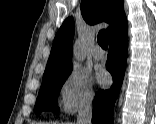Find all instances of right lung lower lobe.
I'll use <instances>...</instances> for the list:
<instances>
[{
    "mask_svg": "<svg viewBox=\"0 0 156 124\" xmlns=\"http://www.w3.org/2000/svg\"><path fill=\"white\" fill-rule=\"evenodd\" d=\"M106 67L113 77L108 90H100L94 99L93 124H113V108L122 86L128 53V29L109 40Z\"/></svg>",
    "mask_w": 156,
    "mask_h": 124,
    "instance_id": "right-lung-lower-lobe-1",
    "label": "right lung lower lobe"
}]
</instances>
